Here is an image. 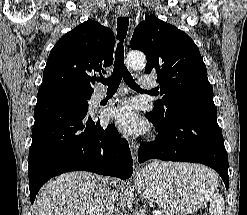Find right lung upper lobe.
<instances>
[{"label": "right lung upper lobe", "mask_w": 247, "mask_h": 215, "mask_svg": "<svg viewBox=\"0 0 247 215\" xmlns=\"http://www.w3.org/2000/svg\"><path fill=\"white\" fill-rule=\"evenodd\" d=\"M115 38L110 28L88 20L62 36L52 48L43 73L42 89L62 88L93 93V74L113 62Z\"/></svg>", "instance_id": "obj_1"}]
</instances>
